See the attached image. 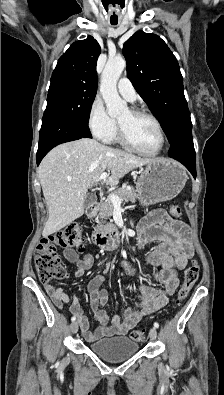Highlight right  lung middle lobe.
<instances>
[{
	"label": "right lung middle lobe",
	"mask_w": 224,
	"mask_h": 395,
	"mask_svg": "<svg viewBox=\"0 0 224 395\" xmlns=\"http://www.w3.org/2000/svg\"><path fill=\"white\" fill-rule=\"evenodd\" d=\"M96 92V88L65 80H51L45 112L57 113L88 127L90 110Z\"/></svg>",
	"instance_id": "dd1d6c3e"
}]
</instances>
